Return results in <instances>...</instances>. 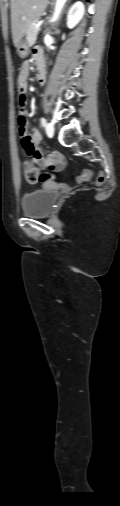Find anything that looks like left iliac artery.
<instances>
[{
	"label": "left iliac artery",
	"instance_id": "44dca946",
	"mask_svg": "<svg viewBox=\"0 0 120 506\" xmlns=\"http://www.w3.org/2000/svg\"><path fill=\"white\" fill-rule=\"evenodd\" d=\"M40 122H41L42 126L46 125V119L45 118L41 117Z\"/></svg>",
	"mask_w": 120,
	"mask_h": 506
}]
</instances>
